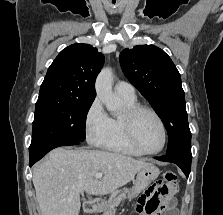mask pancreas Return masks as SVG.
I'll return each mask as SVG.
<instances>
[{
  "label": "pancreas",
  "mask_w": 223,
  "mask_h": 215,
  "mask_svg": "<svg viewBox=\"0 0 223 215\" xmlns=\"http://www.w3.org/2000/svg\"><path fill=\"white\" fill-rule=\"evenodd\" d=\"M126 190H127V187H122V189H115V191H112L108 201L109 202H114V203L116 202L117 203L116 205H119L120 201H123V199L127 195ZM108 207H112V205H109ZM107 209H111V212H107V213L104 212L103 215H115V209L114 208H107Z\"/></svg>",
  "instance_id": "pancreas-1"
}]
</instances>
